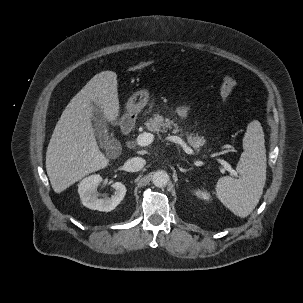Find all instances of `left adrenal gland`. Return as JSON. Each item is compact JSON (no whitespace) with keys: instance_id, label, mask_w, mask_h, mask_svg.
Returning a JSON list of instances; mask_svg holds the SVG:
<instances>
[{"instance_id":"obj_1","label":"left adrenal gland","mask_w":303,"mask_h":303,"mask_svg":"<svg viewBox=\"0 0 303 303\" xmlns=\"http://www.w3.org/2000/svg\"><path fill=\"white\" fill-rule=\"evenodd\" d=\"M182 160H185V159H182ZM179 168V170L182 172V173H186V172H188V171H191V168H186V169H184V168H182V167H178Z\"/></svg>"}]
</instances>
